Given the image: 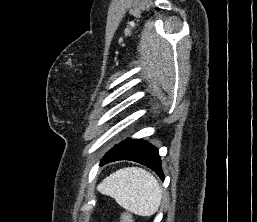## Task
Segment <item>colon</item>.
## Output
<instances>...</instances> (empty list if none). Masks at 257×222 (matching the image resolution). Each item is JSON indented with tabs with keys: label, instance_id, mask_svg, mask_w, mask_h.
Returning a JSON list of instances; mask_svg holds the SVG:
<instances>
[{
	"label": "colon",
	"instance_id": "5ec220e1",
	"mask_svg": "<svg viewBox=\"0 0 257 222\" xmlns=\"http://www.w3.org/2000/svg\"><path fill=\"white\" fill-rule=\"evenodd\" d=\"M121 222H133L132 215L129 212H124L121 215Z\"/></svg>",
	"mask_w": 257,
	"mask_h": 222
}]
</instances>
